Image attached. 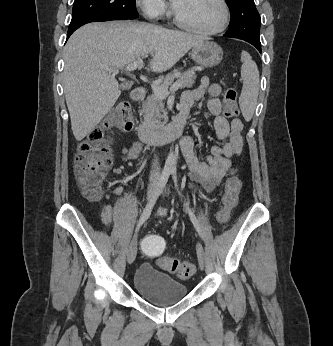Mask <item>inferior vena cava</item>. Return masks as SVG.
Returning <instances> with one entry per match:
<instances>
[{"instance_id":"inferior-vena-cava-1","label":"inferior vena cava","mask_w":333,"mask_h":346,"mask_svg":"<svg viewBox=\"0 0 333 346\" xmlns=\"http://www.w3.org/2000/svg\"><path fill=\"white\" fill-rule=\"evenodd\" d=\"M150 174H151L150 176L151 178L157 177L160 174V166H159L157 157L154 159Z\"/></svg>"}]
</instances>
